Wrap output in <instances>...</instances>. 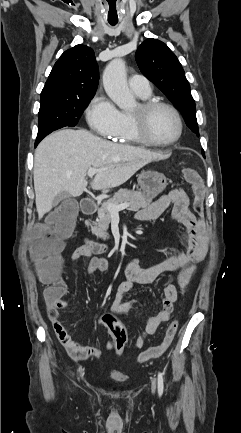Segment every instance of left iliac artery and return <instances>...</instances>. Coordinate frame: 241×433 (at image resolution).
<instances>
[{
    "label": "left iliac artery",
    "mask_w": 241,
    "mask_h": 433,
    "mask_svg": "<svg viewBox=\"0 0 241 433\" xmlns=\"http://www.w3.org/2000/svg\"><path fill=\"white\" fill-rule=\"evenodd\" d=\"M164 383H163V374L161 372L158 373V393L161 396L163 394Z\"/></svg>",
    "instance_id": "left-iliac-artery-1"
}]
</instances>
